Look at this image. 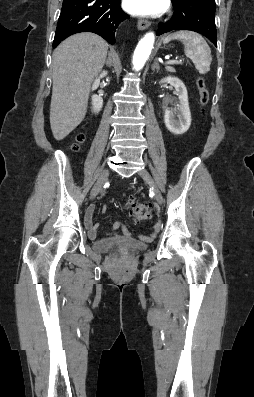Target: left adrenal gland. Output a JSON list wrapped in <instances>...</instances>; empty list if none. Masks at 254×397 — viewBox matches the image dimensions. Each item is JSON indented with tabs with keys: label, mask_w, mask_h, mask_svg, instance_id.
<instances>
[{
	"label": "left adrenal gland",
	"mask_w": 254,
	"mask_h": 397,
	"mask_svg": "<svg viewBox=\"0 0 254 397\" xmlns=\"http://www.w3.org/2000/svg\"><path fill=\"white\" fill-rule=\"evenodd\" d=\"M151 68H152L153 71L156 70L157 72L160 70V66H159V63H158V58H155L154 63H153Z\"/></svg>",
	"instance_id": "obj_1"
}]
</instances>
